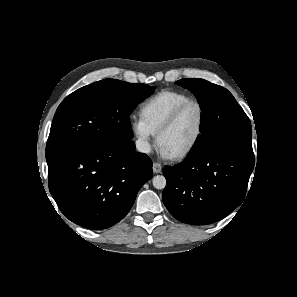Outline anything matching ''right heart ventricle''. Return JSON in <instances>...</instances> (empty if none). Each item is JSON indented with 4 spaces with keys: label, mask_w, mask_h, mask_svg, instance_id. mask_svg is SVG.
I'll list each match as a JSON object with an SVG mask.
<instances>
[{
    "label": "right heart ventricle",
    "mask_w": 297,
    "mask_h": 297,
    "mask_svg": "<svg viewBox=\"0 0 297 297\" xmlns=\"http://www.w3.org/2000/svg\"><path fill=\"white\" fill-rule=\"evenodd\" d=\"M189 99L191 98L187 94L179 91H160L141 105V118L154 133H157L173 110Z\"/></svg>",
    "instance_id": "1"
}]
</instances>
